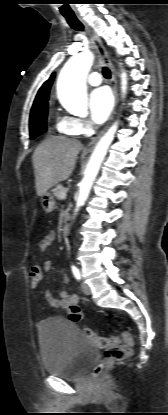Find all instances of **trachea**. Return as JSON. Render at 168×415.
<instances>
[{"label": "trachea", "instance_id": "1", "mask_svg": "<svg viewBox=\"0 0 168 415\" xmlns=\"http://www.w3.org/2000/svg\"><path fill=\"white\" fill-rule=\"evenodd\" d=\"M66 18L68 24L76 31H83L84 26L83 24L78 20V18L75 15H64ZM103 75L105 78L110 79L111 73L110 70L106 67H103L102 69Z\"/></svg>", "mask_w": 168, "mask_h": 415}]
</instances>
